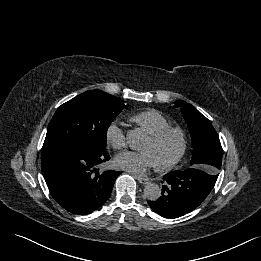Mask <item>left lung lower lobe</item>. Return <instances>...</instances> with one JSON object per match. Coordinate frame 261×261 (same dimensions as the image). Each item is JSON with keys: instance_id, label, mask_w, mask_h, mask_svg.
<instances>
[{"instance_id": "0a47b994", "label": "left lung lower lobe", "mask_w": 261, "mask_h": 261, "mask_svg": "<svg viewBox=\"0 0 261 261\" xmlns=\"http://www.w3.org/2000/svg\"><path fill=\"white\" fill-rule=\"evenodd\" d=\"M217 170L193 165L163 177L162 195L149 206L165 218H177L196 209L209 195L218 178Z\"/></svg>"}]
</instances>
